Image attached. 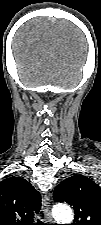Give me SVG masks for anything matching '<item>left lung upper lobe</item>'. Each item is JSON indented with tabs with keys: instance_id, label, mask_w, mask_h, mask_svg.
Listing matches in <instances>:
<instances>
[{
	"instance_id": "5c2ea615",
	"label": "left lung upper lobe",
	"mask_w": 101,
	"mask_h": 225,
	"mask_svg": "<svg viewBox=\"0 0 101 225\" xmlns=\"http://www.w3.org/2000/svg\"><path fill=\"white\" fill-rule=\"evenodd\" d=\"M53 199L73 207L72 225H101V188L88 177L74 175L65 179L55 188Z\"/></svg>"
}]
</instances>
